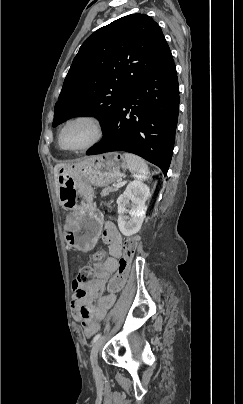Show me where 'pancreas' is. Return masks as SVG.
Here are the masks:
<instances>
[{"instance_id": "pancreas-1", "label": "pancreas", "mask_w": 243, "mask_h": 404, "mask_svg": "<svg viewBox=\"0 0 243 404\" xmlns=\"http://www.w3.org/2000/svg\"><path fill=\"white\" fill-rule=\"evenodd\" d=\"M118 188H112V186H106L101 192V196H109L110 192H117Z\"/></svg>"}]
</instances>
